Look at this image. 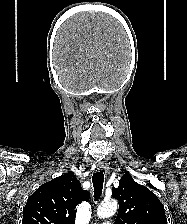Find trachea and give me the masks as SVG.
Listing matches in <instances>:
<instances>
[{"mask_svg":"<svg viewBox=\"0 0 187 224\" xmlns=\"http://www.w3.org/2000/svg\"><path fill=\"white\" fill-rule=\"evenodd\" d=\"M92 182L94 187V199L98 200L102 194L104 174L102 171L95 172L92 176Z\"/></svg>","mask_w":187,"mask_h":224,"instance_id":"trachea-1","label":"trachea"}]
</instances>
